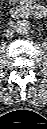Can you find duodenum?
Wrapping results in <instances>:
<instances>
[{
	"instance_id": "1",
	"label": "duodenum",
	"mask_w": 47,
	"mask_h": 129,
	"mask_svg": "<svg viewBox=\"0 0 47 129\" xmlns=\"http://www.w3.org/2000/svg\"><path fill=\"white\" fill-rule=\"evenodd\" d=\"M11 14L15 18L42 17L45 15V9L36 3H26L13 7Z\"/></svg>"
}]
</instances>
